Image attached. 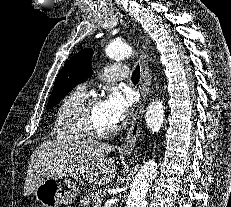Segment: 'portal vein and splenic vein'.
Returning a JSON list of instances; mask_svg holds the SVG:
<instances>
[{
    "label": "portal vein and splenic vein",
    "mask_w": 231,
    "mask_h": 207,
    "mask_svg": "<svg viewBox=\"0 0 231 207\" xmlns=\"http://www.w3.org/2000/svg\"><path fill=\"white\" fill-rule=\"evenodd\" d=\"M101 206V204L100 203H95V207H100Z\"/></svg>",
    "instance_id": "1"
}]
</instances>
